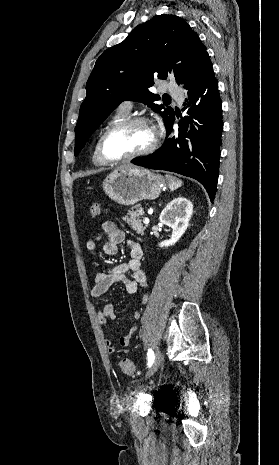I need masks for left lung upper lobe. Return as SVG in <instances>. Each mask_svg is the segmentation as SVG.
<instances>
[{
    "instance_id": "5c2ea615",
    "label": "left lung upper lobe",
    "mask_w": 279,
    "mask_h": 465,
    "mask_svg": "<svg viewBox=\"0 0 279 465\" xmlns=\"http://www.w3.org/2000/svg\"><path fill=\"white\" fill-rule=\"evenodd\" d=\"M205 52L197 33L183 19L164 14L138 25L123 42L105 50L86 84L87 95L75 127L74 154H79L95 129L125 100L152 107L164 118L167 129L175 113L171 107L153 103L159 100L148 90L154 85L153 76L173 77L183 85Z\"/></svg>"
}]
</instances>
